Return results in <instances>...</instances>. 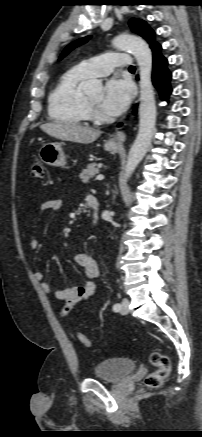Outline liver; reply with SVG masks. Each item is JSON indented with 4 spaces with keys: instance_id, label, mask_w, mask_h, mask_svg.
<instances>
[{
    "instance_id": "liver-1",
    "label": "liver",
    "mask_w": 202,
    "mask_h": 437,
    "mask_svg": "<svg viewBox=\"0 0 202 437\" xmlns=\"http://www.w3.org/2000/svg\"><path fill=\"white\" fill-rule=\"evenodd\" d=\"M40 129L54 138L82 144L94 142L102 133L94 128L64 121L45 123Z\"/></svg>"
}]
</instances>
